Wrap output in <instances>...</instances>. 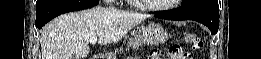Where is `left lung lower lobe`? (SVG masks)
I'll return each mask as SVG.
<instances>
[{
    "instance_id": "0a47b994",
    "label": "left lung lower lobe",
    "mask_w": 261,
    "mask_h": 59,
    "mask_svg": "<svg viewBox=\"0 0 261 59\" xmlns=\"http://www.w3.org/2000/svg\"><path fill=\"white\" fill-rule=\"evenodd\" d=\"M219 7L214 4L197 3L182 6L169 12H156L155 17L170 20H194L206 25L211 34H216L219 28Z\"/></svg>"
}]
</instances>
